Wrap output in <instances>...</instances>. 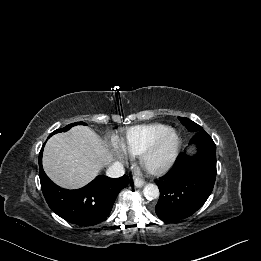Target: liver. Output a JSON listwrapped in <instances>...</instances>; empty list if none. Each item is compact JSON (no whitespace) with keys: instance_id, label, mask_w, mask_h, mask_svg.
<instances>
[{"instance_id":"6515ba94","label":"liver","mask_w":261,"mask_h":261,"mask_svg":"<svg viewBox=\"0 0 261 261\" xmlns=\"http://www.w3.org/2000/svg\"><path fill=\"white\" fill-rule=\"evenodd\" d=\"M112 155L100 137L85 126L52 136L43 152V168L57 185L76 189L93 180Z\"/></svg>"}]
</instances>
